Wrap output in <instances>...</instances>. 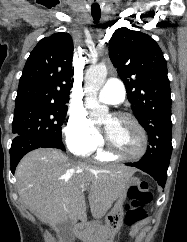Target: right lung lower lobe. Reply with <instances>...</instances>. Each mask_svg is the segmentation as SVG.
Returning a JSON list of instances; mask_svg holds the SVG:
<instances>
[{
  "label": "right lung lower lobe",
  "mask_w": 187,
  "mask_h": 242,
  "mask_svg": "<svg viewBox=\"0 0 187 242\" xmlns=\"http://www.w3.org/2000/svg\"><path fill=\"white\" fill-rule=\"evenodd\" d=\"M37 148H58L65 151L64 144L58 139L30 135L16 136L10 148L11 172L14 174L17 164L26 153Z\"/></svg>",
  "instance_id": "obj_1"
}]
</instances>
